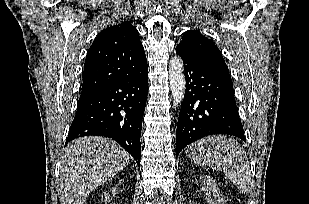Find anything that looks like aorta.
Wrapping results in <instances>:
<instances>
[{"label":"aorta","mask_w":309,"mask_h":204,"mask_svg":"<svg viewBox=\"0 0 309 204\" xmlns=\"http://www.w3.org/2000/svg\"><path fill=\"white\" fill-rule=\"evenodd\" d=\"M169 80L174 106H178L185 94V75L183 62L179 57L170 60Z\"/></svg>","instance_id":"aorta-1"}]
</instances>
